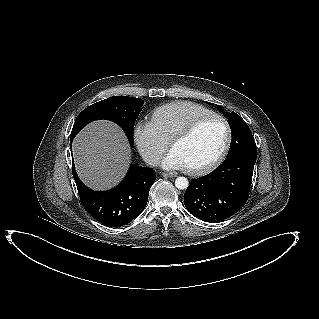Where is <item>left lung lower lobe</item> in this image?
<instances>
[{
  "mask_svg": "<svg viewBox=\"0 0 319 319\" xmlns=\"http://www.w3.org/2000/svg\"><path fill=\"white\" fill-rule=\"evenodd\" d=\"M255 155L225 159L213 172L192 179L184 193L187 210L205 222H221L246 203L252 181Z\"/></svg>",
  "mask_w": 319,
  "mask_h": 319,
  "instance_id": "obj_1",
  "label": "left lung lower lobe"
}]
</instances>
